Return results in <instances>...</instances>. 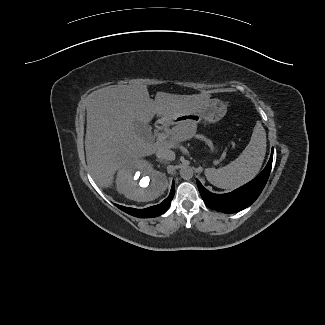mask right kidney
Returning <instances> with one entry per match:
<instances>
[{
	"label": "right kidney",
	"instance_id": "1",
	"mask_svg": "<svg viewBox=\"0 0 325 325\" xmlns=\"http://www.w3.org/2000/svg\"><path fill=\"white\" fill-rule=\"evenodd\" d=\"M116 184L117 191L128 199L147 202L155 200L165 191L167 178L147 161L139 160L119 170Z\"/></svg>",
	"mask_w": 325,
	"mask_h": 325
}]
</instances>
